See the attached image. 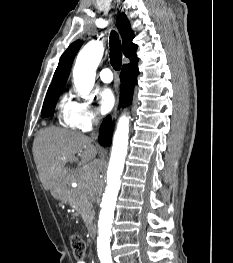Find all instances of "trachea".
Listing matches in <instances>:
<instances>
[{"instance_id":"trachea-1","label":"trachea","mask_w":233,"mask_h":263,"mask_svg":"<svg viewBox=\"0 0 233 263\" xmlns=\"http://www.w3.org/2000/svg\"><path fill=\"white\" fill-rule=\"evenodd\" d=\"M110 63L115 70H120L122 65L121 45L115 31L110 34Z\"/></svg>"}]
</instances>
